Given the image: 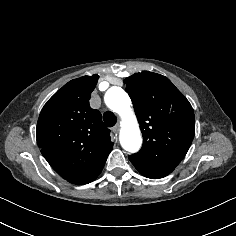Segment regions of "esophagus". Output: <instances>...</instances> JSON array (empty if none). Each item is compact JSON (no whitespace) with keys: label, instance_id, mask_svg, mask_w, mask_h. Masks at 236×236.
<instances>
[{"label":"esophagus","instance_id":"obj_1","mask_svg":"<svg viewBox=\"0 0 236 236\" xmlns=\"http://www.w3.org/2000/svg\"><path fill=\"white\" fill-rule=\"evenodd\" d=\"M119 129H120V125L117 124V125H115V126L113 127V132H114V133H118Z\"/></svg>","mask_w":236,"mask_h":236}]
</instances>
